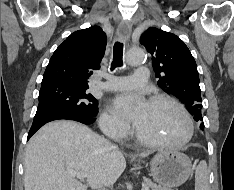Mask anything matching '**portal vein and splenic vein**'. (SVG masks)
<instances>
[{"mask_svg": "<svg viewBox=\"0 0 234 190\" xmlns=\"http://www.w3.org/2000/svg\"><path fill=\"white\" fill-rule=\"evenodd\" d=\"M69 174L73 177H76L78 179H85L87 177V175L83 172H77V171H74V170H69L68 171ZM141 190H149V188L147 186H142V189Z\"/></svg>", "mask_w": 234, "mask_h": 190, "instance_id": "18ae733b", "label": "portal vein and splenic vein"}]
</instances>
